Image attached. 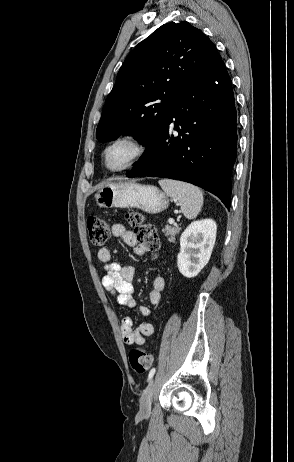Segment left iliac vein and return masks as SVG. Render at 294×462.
Listing matches in <instances>:
<instances>
[{
  "label": "left iliac vein",
  "mask_w": 294,
  "mask_h": 462,
  "mask_svg": "<svg viewBox=\"0 0 294 462\" xmlns=\"http://www.w3.org/2000/svg\"><path fill=\"white\" fill-rule=\"evenodd\" d=\"M154 380L152 379L144 390L140 399V411L148 414L151 411L152 398L154 393Z\"/></svg>",
  "instance_id": "4c4485c4"
}]
</instances>
